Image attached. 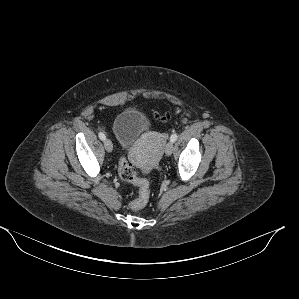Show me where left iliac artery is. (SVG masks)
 <instances>
[{"label": "left iliac artery", "mask_w": 299, "mask_h": 299, "mask_svg": "<svg viewBox=\"0 0 299 299\" xmlns=\"http://www.w3.org/2000/svg\"><path fill=\"white\" fill-rule=\"evenodd\" d=\"M177 137H178L177 134H172L170 137V141L175 142L177 140Z\"/></svg>", "instance_id": "44dca946"}]
</instances>
